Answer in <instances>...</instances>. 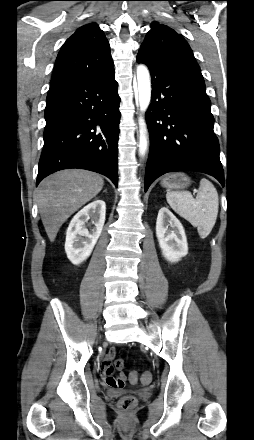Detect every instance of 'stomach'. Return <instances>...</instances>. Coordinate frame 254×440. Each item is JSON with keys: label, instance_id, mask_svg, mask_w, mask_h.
Returning <instances> with one entry per match:
<instances>
[{"label": "stomach", "instance_id": "0dacf381", "mask_svg": "<svg viewBox=\"0 0 254 440\" xmlns=\"http://www.w3.org/2000/svg\"><path fill=\"white\" fill-rule=\"evenodd\" d=\"M190 184V178L184 173H174L167 175L161 181V185L168 190L184 189Z\"/></svg>", "mask_w": 254, "mask_h": 440}]
</instances>
